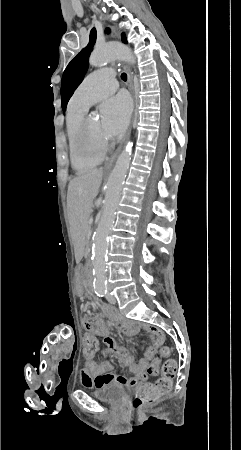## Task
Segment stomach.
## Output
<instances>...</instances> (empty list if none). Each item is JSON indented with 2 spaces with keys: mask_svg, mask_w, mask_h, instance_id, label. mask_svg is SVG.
Masks as SVG:
<instances>
[{
  "mask_svg": "<svg viewBox=\"0 0 241 450\" xmlns=\"http://www.w3.org/2000/svg\"><path fill=\"white\" fill-rule=\"evenodd\" d=\"M84 282H85V277H84L82 267H81V265H78L75 269V276H74L75 287L81 291L83 289Z\"/></svg>",
  "mask_w": 241,
  "mask_h": 450,
  "instance_id": "stomach-1",
  "label": "stomach"
}]
</instances>
